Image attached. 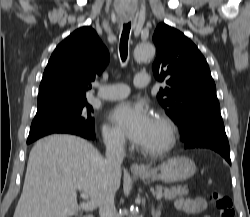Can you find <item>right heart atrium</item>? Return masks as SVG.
<instances>
[{"label":"right heart atrium","instance_id":"obj_1","mask_svg":"<svg viewBox=\"0 0 250 217\" xmlns=\"http://www.w3.org/2000/svg\"><path fill=\"white\" fill-rule=\"evenodd\" d=\"M102 138L105 144L112 148L121 149L126 144L123 133L117 128L107 124L102 126Z\"/></svg>","mask_w":250,"mask_h":217}]
</instances>
